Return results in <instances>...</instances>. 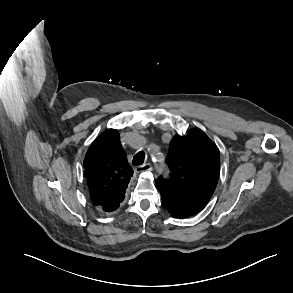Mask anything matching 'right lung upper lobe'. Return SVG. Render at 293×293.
<instances>
[{
	"instance_id": "right-lung-upper-lobe-1",
	"label": "right lung upper lobe",
	"mask_w": 293,
	"mask_h": 293,
	"mask_svg": "<svg viewBox=\"0 0 293 293\" xmlns=\"http://www.w3.org/2000/svg\"><path fill=\"white\" fill-rule=\"evenodd\" d=\"M91 200L105 212L119 208L133 175L117 130L108 129L90 146L84 159Z\"/></svg>"
}]
</instances>
